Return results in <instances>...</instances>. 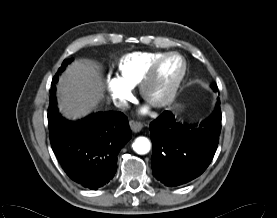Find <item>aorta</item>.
I'll return each instance as SVG.
<instances>
[{
    "label": "aorta",
    "instance_id": "762f6f07",
    "mask_svg": "<svg viewBox=\"0 0 277 218\" xmlns=\"http://www.w3.org/2000/svg\"><path fill=\"white\" fill-rule=\"evenodd\" d=\"M133 150L140 155L147 154L151 149V143L146 137H137L132 144Z\"/></svg>",
    "mask_w": 277,
    "mask_h": 218
}]
</instances>
